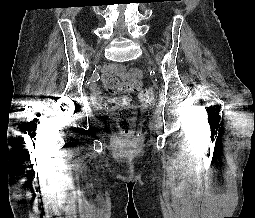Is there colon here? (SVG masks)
Segmentation results:
<instances>
[{"label":"colon","instance_id":"obj_1","mask_svg":"<svg viewBox=\"0 0 255 218\" xmlns=\"http://www.w3.org/2000/svg\"><path fill=\"white\" fill-rule=\"evenodd\" d=\"M104 83L107 89L113 94H120L124 92H136L141 88L139 80H132L129 82H122L116 78L105 77ZM155 99V91L152 88H145L141 92V100L144 103H151ZM119 127L124 133H128L133 125V120L136 116V106L127 104L122 106L118 112Z\"/></svg>","mask_w":255,"mask_h":218}]
</instances>
